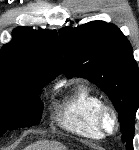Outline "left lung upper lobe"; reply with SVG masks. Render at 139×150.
I'll list each match as a JSON object with an SVG mask.
<instances>
[{
  "label": "left lung upper lobe",
  "instance_id": "left-lung-upper-lobe-1",
  "mask_svg": "<svg viewBox=\"0 0 139 150\" xmlns=\"http://www.w3.org/2000/svg\"><path fill=\"white\" fill-rule=\"evenodd\" d=\"M68 77L87 78L104 91L119 113L122 141L133 147L139 106V70L127 38L113 24L92 21L59 31Z\"/></svg>",
  "mask_w": 139,
  "mask_h": 150
}]
</instances>
